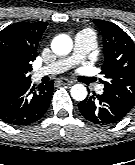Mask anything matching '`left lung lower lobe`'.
<instances>
[{"instance_id": "0a47b994", "label": "left lung lower lobe", "mask_w": 135, "mask_h": 165, "mask_svg": "<svg viewBox=\"0 0 135 165\" xmlns=\"http://www.w3.org/2000/svg\"><path fill=\"white\" fill-rule=\"evenodd\" d=\"M78 106L82 115L96 124L116 123L132 109L107 92L87 97Z\"/></svg>"}]
</instances>
